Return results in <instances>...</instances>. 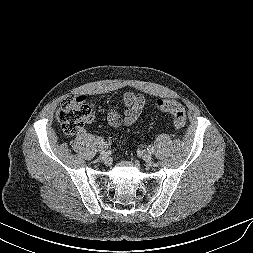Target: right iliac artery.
I'll return each mask as SVG.
<instances>
[{"instance_id": "right-iliac-artery-1", "label": "right iliac artery", "mask_w": 253, "mask_h": 253, "mask_svg": "<svg viewBox=\"0 0 253 253\" xmlns=\"http://www.w3.org/2000/svg\"><path fill=\"white\" fill-rule=\"evenodd\" d=\"M96 142L98 144H102V143H104V139L102 137H98L97 140H96Z\"/></svg>"}]
</instances>
